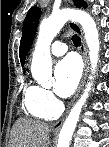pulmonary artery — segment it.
Returning a JSON list of instances; mask_svg holds the SVG:
<instances>
[{
  "mask_svg": "<svg viewBox=\"0 0 109 147\" xmlns=\"http://www.w3.org/2000/svg\"><path fill=\"white\" fill-rule=\"evenodd\" d=\"M67 38V35H63L60 39L53 42L50 49L53 56H62L67 52L68 48L67 45L64 43V40Z\"/></svg>",
  "mask_w": 109,
  "mask_h": 147,
  "instance_id": "e3ab8cb5",
  "label": "pulmonary artery"
}]
</instances>
